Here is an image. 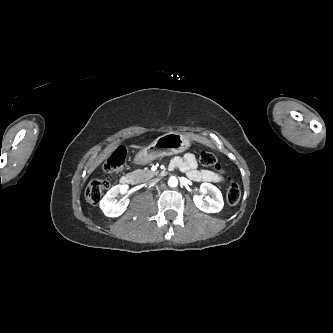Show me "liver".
<instances>
[{
    "label": "liver",
    "instance_id": "6515ba94",
    "mask_svg": "<svg viewBox=\"0 0 333 333\" xmlns=\"http://www.w3.org/2000/svg\"><path fill=\"white\" fill-rule=\"evenodd\" d=\"M132 148H142L141 146L131 145Z\"/></svg>",
    "mask_w": 333,
    "mask_h": 333
}]
</instances>
